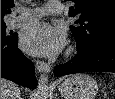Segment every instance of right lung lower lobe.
<instances>
[{
	"label": "right lung lower lobe",
	"instance_id": "right-lung-lower-lobe-1",
	"mask_svg": "<svg viewBox=\"0 0 115 99\" xmlns=\"http://www.w3.org/2000/svg\"><path fill=\"white\" fill-rule=\"evenodd\" d=\"M17 42V34L1 41V77L19 85L35 89L34 65L18 49Z\"/></svg>",
	"mask_w": 115,
	"mask_h": 99
}]
</instances>
